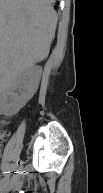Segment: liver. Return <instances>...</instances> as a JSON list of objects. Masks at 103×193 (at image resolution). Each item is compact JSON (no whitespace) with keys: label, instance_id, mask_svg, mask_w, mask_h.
<instances>
[{"label":"liver","instance_id":"obj_1","mask_svg":"<svg viewBox=\"0 0 103 193\" xmlns=\"http://www.w3.org/2000/svg\"><path fill=\"white\" fill-rule=\"evenodd\" d=\"M54 0H0L1 82L45 60L57 24Z\"/></svg>","mask_w":103,"mask_h":193}]
</instances>
